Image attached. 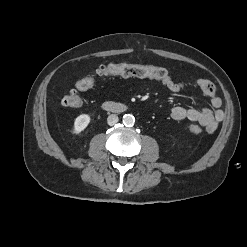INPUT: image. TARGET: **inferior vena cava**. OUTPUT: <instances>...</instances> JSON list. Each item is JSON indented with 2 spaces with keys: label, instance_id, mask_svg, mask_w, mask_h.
<instances>
[{
  "label": "inferior vena cava",
  "instance_id": "602c4592",
  "mask_svg": "<svg viewBox=\"0 0 247 247\" xmlns=\"http://www.w3.org/2000/svg\"><path fill=\"white\" fill-rule=\"evenodd\" d=\"M119 121V118L116 114H111L108 116L107 118V123L110 126H113L114 124H116Z\"/></svg>",
  "mask_w": 247,
  "mask_h": 247
}]
</instances>
